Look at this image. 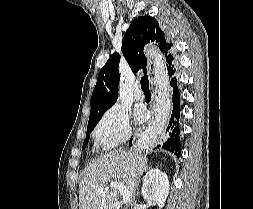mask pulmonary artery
Here are the masks:
<instances>
[{
	"label": "pulmonary artery",
	"instance_id": "1",
	"mask_svg": "<svg viewBox=\"0 0 253 209\" xmlns=\"http://www.w3.org/2000/svg\"><path fill=\"white\" fill-rule=\"evenodd\" d=\"M134 97L136 100L142 101L145 97L143 91L140 89L138 84L135 85Z\"/></svg>",
	"mask_w": 253,
	"mask_h": 209
}]
</instances>
